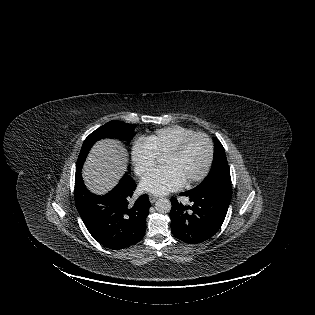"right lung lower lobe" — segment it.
Masks as SVG:
<instances>
[{"instance_id":"right-lung-lower-lobe-1","label":"right lung lower lobe","mask_w":315,"mask_h":315,"mask_svg":"<svg viewBox=\"0 0 315 315\" xmlns=\"http://www.w3.org/2000/svg\"><path fill=\"white\" fill-rule=\"evenodd\" d=\"M136 183L128 173L103 196L84 185L81 169H76L75 204L90 234L103 246L119 250L139 242L145 235L150 202L147 194L131 201Z\"/></svg>"}]
</instances>
